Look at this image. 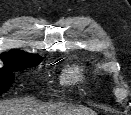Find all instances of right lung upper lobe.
I'll use <instances>...</instances> for the list:
<instances>
[{"instance_id": "right-lung-upper-lobe-1", "label": "right lung upper lobe", "mask_w": 131, "mask_h": 115, "mask_svg": "<svg viewBox=\"0 0 131 115\" xmlns=\"http://www.w3.org/2000/svg\"><path fill=\"white\" fill-rule=\"evenodd\" d=\"M27 56L37 57L19 50H12L9 53H3L1 55V58L4 61V67L1 70L9 68L12 63L16 62L20 58L27 57Z\"/></svg>"}]
</instances>
